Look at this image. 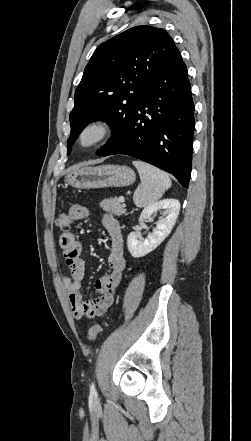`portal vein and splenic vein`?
<instances>
[{"instance_id":"obj_1","label":"portal vein and splenic vein","mask_w":251,"mask_h":441,"mask_svg":"<svg viewBox=\"0 0 251 441\" xmlns=\"http://www.w3.org/2000/svg\"><path fill=\"white\" fill-rule=\"evenodd\" d=\"M119 201H120L121 203H124V202H125L124 197H123V196H120V197H119Z\"/></svg>"}]
</instances>
